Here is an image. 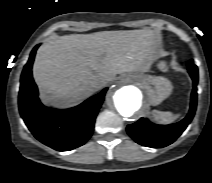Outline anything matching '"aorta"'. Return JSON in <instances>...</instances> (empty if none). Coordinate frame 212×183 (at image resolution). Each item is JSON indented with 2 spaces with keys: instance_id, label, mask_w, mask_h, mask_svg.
Wrapping results in <instances>:
<instances>
[{
  "instance_id": "762f6f07",
  "label": "aorta",
  "mask_w": 212,
  "mask_h": 183,
  "mask_svg": "<svg viewBox=\"0 0 212 183\" xmlns=\"http://www.w3.org/2000/svg\"><path fill=\"white\" fill-rule=\"evenodd\" d=\"M115 109L124 117L132 116L141 107V91L132 85L115 89L113 96Z\"/></svg>"
}]
</instances>
